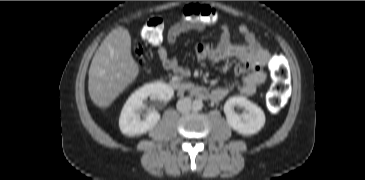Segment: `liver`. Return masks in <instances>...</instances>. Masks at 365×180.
I'll return each mask as SVG.
<instances>
[{
    "label": "liver",
    "instance_id": "6515ba94",
    "mask_svg": "<svg viewBox=\"0 0 365 180\" xmlns=\"http://www.w3.org/2000/svg\"><path fill=\"white\" fill-rule=\"evenodd\" d=\"M138 74L129 31L122 27L112 30L99 46L89 68L91 100L100 108L109 107Z\"/></svg>",
    "mask_w": 365,
    "mask_h": 180
}]
</instances>
